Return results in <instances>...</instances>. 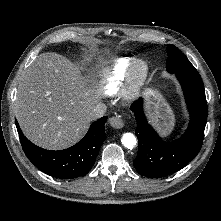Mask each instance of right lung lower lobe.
Wrapping results in <instances>:
<instances>
[{
    "label": "right lung lower lobe",
    "mask_w": 221,
    "mask_h": 221,
    "mask_svg": "<svg viewBox=\"0 0 221 221\" xmlns=\"http://www.w3.org/2000/svg\"><path fill=\"white\" fill-rule=\"evenodd\" d=\"M107 117L95 121L87 134L74 146L51 151L31 143L15 121L23 151L37 168L44 173L60 178L73 179L86 175L94 165L100 147L106 139L104 124Z\"/></svg>",
    "instance_id": "98d812e1"
}]
</instances>
